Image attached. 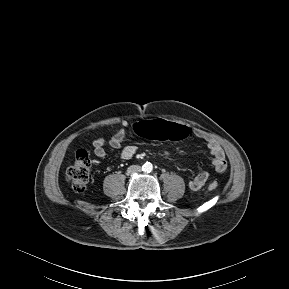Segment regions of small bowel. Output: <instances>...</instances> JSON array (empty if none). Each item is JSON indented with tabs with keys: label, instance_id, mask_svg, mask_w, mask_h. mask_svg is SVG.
Listing matches in <instances>:
<instances>
[{
	"label": "small bowel",
	"instance_id": "obj_1",
	"mask_svg": "<svg viewBox=\"0 0 289 289\" xmlns=\"http://www.w3.org/2000/svg\"><path fill=\"white\" fill-rule=\"evenodd\" d=\"M133 125L134 124H129L127 121H123L120 125V128L109 139L108 141L109 146L115 149L120 148L122 146V143L127 133L129 131L134 133ZM194 135L205 141L210 151V154L212 156L214 172L216 173L224 172L227 169V161H226L225 153L222 147L214 139L208 137L202 130L195 129ZM105 144H106V140L102 137L96 138L93 141L94 154L99 159H104L106 157ZM136 150H137L136 146L126 145L122 148L120 157L123 160H129L135 155ZM209 177H210V173L207 171H203L189 181V187L192 190L201 189L206 184Z\"/></svg>",
	"mask_w": 289,
	"mask_h": 289
}]
</instances>
